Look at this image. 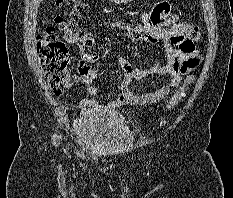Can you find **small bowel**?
<instances>
[{
  "mask_svg": "<svg viewBox=\"0 0 233 198\" xmlns=\"http://www.w3.org/2000/svg\"><path fill=\"white\" fill-rule=\"evenodd\" d=\"M111 27L113 30L124 32L134 42L161 46L164 59L157 61L148 69L134 67L125 58L118 59V67L124 76L120 85V93L106 104H100L95 98L106 99L107 96L100 94L92 82L103 76L105 70L93 69L91 65L97 63L100 58L97 54L87 53L82 47L80 51L81 61L78 67V83L86 86L88 93L95 97L79 100L78 105L82 109L113 112L123 105L156 103L176 88L182 80V74L176 70L175 64L190 56L200 57L195 49L187 50L183 46L186 41L187 25L179 21L178 16L172 13L168 2H160L154 6L151 12H143L139 24L133 25L117 20L111 24ZM93 42L92 39L91 44L87 47H91ZM151 76H169L170 80L168 83L143 94H138L132 89L133 81L143 80Z\"/></svg>",
  "mask_w": 233,
  "mask_h": 198,
  "instance_id": "c3829d8e",
  "label": "small bowel"
}]
</instances>
